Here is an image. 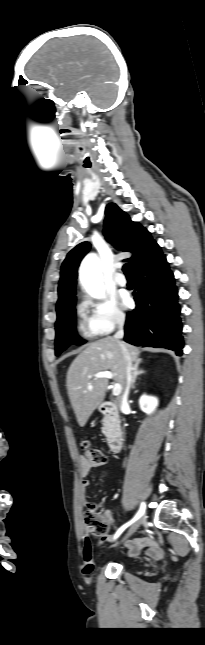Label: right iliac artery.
Returning a JSON list of instances; mask_svg holds the SVG:
<instances>
[{
    "label": "right iliac artery",
    "instance_id": "82829eb1",
    "mask_svg": "<svg viewBox=\"0 0 205 645\" xmlns=\"http://www.w3.org/2000/svg\"><path fill=\"white\" fill-rule=\"evenodd\" d=\"M144 512H145V504L141 503L140 509H139L138 513L136 514V516L134 517V519L131 520L130 522H128L127 524L123 525L121 528H119V530L116 532V534L114 536V539H116L131 523H133L138 518H140L144 514Z\"/></svg>",
    "mask_w": 205,
    "mask_h": 645
}]
</instances>
